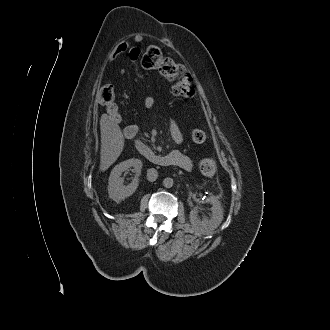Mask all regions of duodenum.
<instances>
[{
	"label": "duodenum",
	"instance_id": "duodenum-1",
	"mask_svg": "<svg viewBox=\"0 0 330 330\" xmlns=\"http://www.w3.org/2000/svg\"><path fill=\"white\" fill-rule=\"evenodd\" d=\"M132 127H127L124 131L125 137L127 139H133L136 134V129L134 131H131ZM138 150L139 152L152 164L157 166H169V162L165 155L157 154L153 150H151L149 147H147L143 143H138Z\"/></svg>",
	"mask_w": 330,
	"mask_h": 330
}]
</instances>
